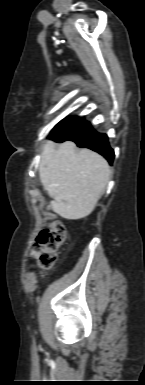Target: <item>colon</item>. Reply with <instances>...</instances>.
I'll use <instances>...</instances> for the list:
<instances>
[{"mask_svg": "<svg viewBox=\"0 0 145 385\" xmlns=\"http://www.w3.org/2000/svg\"><path fill=\"white\" fill-rule=\"evenodd\" d=\"M66 237V229L62 222L53 221L43 229L32 246V256L38 267L47 271L52 268L57 251L63 245Z\"/></svg>", "mask_w": 145, "mask_h": 385, "instance_id": "obj_1", "label": "colon"}]
</instances>
